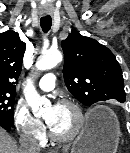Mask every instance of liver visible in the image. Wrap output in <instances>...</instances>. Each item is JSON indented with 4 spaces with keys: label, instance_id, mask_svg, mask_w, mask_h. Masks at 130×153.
I'll list each match as a JSON object with an SVG mask.
<instances>
[{
    "label": "liver",
    "instance_id": "6515ba94",
    "mask_svg": "<svg viewBox=\"0 0 130 153\" xmlns=\"http://www.w3.org/2000/svg\"><path fill=\"white\" fill-rule=\"evenodd\" d=\"M0 153H22L12 137L0 127Z\"/></svg>",
    "mask_w": 130,
    "mask_h": 153
}]
</instances>
